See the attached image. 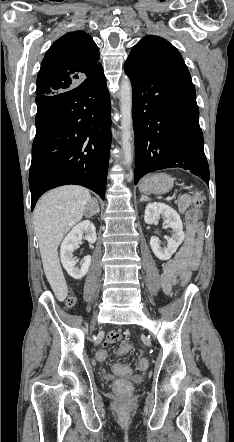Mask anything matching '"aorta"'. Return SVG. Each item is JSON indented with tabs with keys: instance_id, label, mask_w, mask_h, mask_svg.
Segmentation results:
<instances>
[{
	"instance_id": "aorta-1",
	"label": "aorta",
	"mask_w": 234,
	"mask_h": 442,
	"mask_svg": "<svg viewBox=\"0 0 234 442\" xmlns=\"http://www.w3.org/2000/svg\"><path fill=\"white\" fill-rule=\"evenodd\" d=\"M120 110H121V141L124 165L132 163V84L129 77L124 76L120 87Z\"/></svg>"
}]
</instances>
